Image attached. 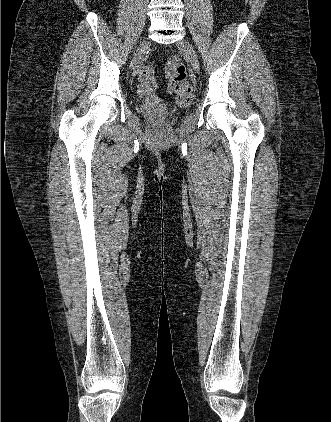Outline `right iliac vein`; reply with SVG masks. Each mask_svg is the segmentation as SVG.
<instances>
[{"label": "right iliac vein", "mask_w": 331, "mask_h": 422, "mask_svg": "<svg viewBox=\"0 0 331 422\" xmlns=\"http://www.w3.org/2000/svg\"><path fill=\"white\" fill-rule=\"evenodd\" d=\"M147 45H148V42L146 40L141 42L140 46L138 47V49H137V51H136V53H135V55H134V57L131 61V65H130L131 69H136L139 66L141 59H142V57L145 53V50L147 48Z\"/></svg>", "instance_id": "1"}]
</instances>
